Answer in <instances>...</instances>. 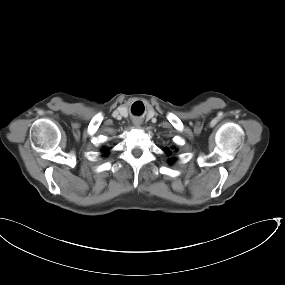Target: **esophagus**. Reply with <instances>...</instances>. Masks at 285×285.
I'll use <instances>...</instances> for the list:
<instances>
[{
	"label": "esophagus",
	"instance_id": "1",
	"mask_svg": "<svg viewBox=\"0 0 285 285\" xmlns=\"http://www.w3.org/2000/svg\"><path fill=\"white\" fill-rule=\"evenodd\" d=\"M140 123H141V122H139V121H138V122H134V125H135V126H139Z\"/></svg>",
	"mask_w": 285,
	"mask_h": 285
}]
</instances>
